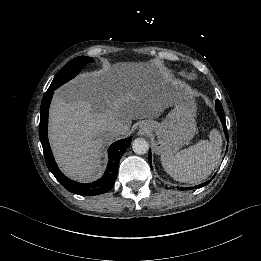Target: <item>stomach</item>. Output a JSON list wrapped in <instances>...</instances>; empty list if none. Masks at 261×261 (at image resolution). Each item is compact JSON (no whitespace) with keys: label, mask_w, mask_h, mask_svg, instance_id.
<instances>
[{"label":"stomach","mask_w":261,"mask_h":261,"mask_svg":"<svg viewBox=\"0 0 261 261\" xmlns=\"http://www.w3.org/2000/svg\"><path fill=\"white\" fill-rule=\"evenodd\" d=\"M171 106L172 109L161 123L152 120L157 135L154 150L161 156L173 155L188 144L196 133L197 107L191 88L177 84L173 90Z\"/></svg>","instance_id":"obj_1"}]
</instances>
